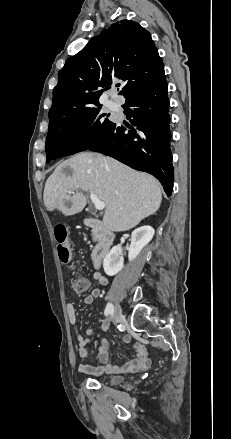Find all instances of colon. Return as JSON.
Masks as SVG:
<instances>
[{
    "instance_id": "obj_1",
    "label": "colon",
    "mask_w": 231,
    "mask_h": 439,
    "mask_svg": "<svg viewBox=\"0 0 231 439\" xmlns=\"http://www.w3.org/2000/svg\"><path fill=\"white\" fill-rule=\"evenodd\" d=\"M55 237L58 243V256L62 263L68 264L72 260V250L67 243V230L63 226L56 227ZM71 287L75 292L82 293L89 289L90 282L84 277L72 280Z\"/></svg>"
}]
</instances>
